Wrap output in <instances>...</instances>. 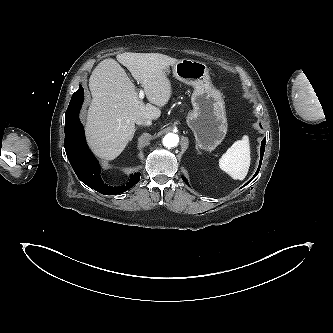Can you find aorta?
<instances>
[{
  "instance_id": "obj_1",
  "label": "aorta",
  "mask_w": 333,
  "mask_h": 333,
  "mask_svg": "<svg viewBox=\"0 0 333 333\" xmlns=\"http://www.w3.org/2000/svg\"><path fill=\"white\" fill-rule=\"evenodd\" d=\"M179 142V136L175 133H168L163 138V145L167 148H172L177 146Z\"/></svg>"
}]
</instances>
